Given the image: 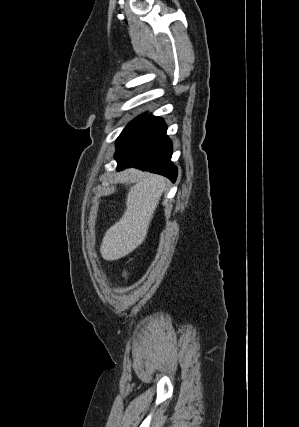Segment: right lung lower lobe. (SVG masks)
<instances>
[{
	"instance_id": "right-lung-lower-lobe-1",
	"label": "right lung lower lobe",
	"mask_w": 299,
	"mask_h": 427,
	"mask_svg": "<svg viewBox=\"0 0 299 427\" xmlns=\"http://www.w3.org/2000/svg\"><path fill=\"white\" fill-rule=\"evenodd\" d=\"M159 117L147 115L119 144L115 153L117 170L135 167L168 177L175 182L177 168L171 162L172 142Z\"/></svg>"
}]
</instances>
